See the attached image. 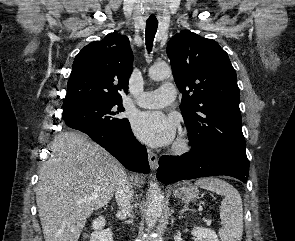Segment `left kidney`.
<instances>
[{
    "label": "left kidney",
    "mask_w": 295,
    "mask_h": 241,
    "mask_svg": "<svg viewBox=\"0 0 295 241\" xmlns=\"http://www.w3.org/2000/svg\"><path fill=\"white\" fill-rule=\"evenodd\" d=\"M191 234L199 241H219L214 230L203 227H194Z\"/></svg>",
    "instance_id": "1"
}]
</instances>
